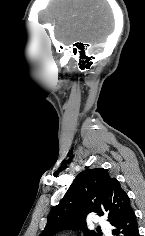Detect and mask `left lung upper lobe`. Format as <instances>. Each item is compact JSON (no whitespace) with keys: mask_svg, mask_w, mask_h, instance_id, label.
I'll return each instance as SVG.
<instances>
[{"mask_svg":"<svg viewBox=\"0 0 145 236\" xmlns=\"http://www.w3.org/2000/svg\"><path fill=\"white\" fill-rule=\"evenodd\" d=\"M130 199L119 181L103 168L79 173L60 203L53 208L40 236H53L63 229L85 230L86 217L95 212L107 215L114 225L131 210ZM84 236H98L89 230Z\"/></svg>","mask_w":145,"mask_h":236,"instance_id":"obj_1","label":"left lung upper lobe"}]
</instances>
